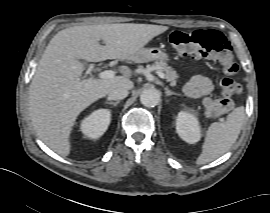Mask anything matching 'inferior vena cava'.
I'll return each instance as SVG.
<instances>
[{
  "label": "inferior vena cava",
  "mask_w": 270,
  "mask_h": 213,
  "mask_svg": "<svg viewBox=\"0 0 270 213\" xmlns=\"http://www.w3.org/2000/svg\"><path fill=\"white\" fill-rule=\"evenodd\" d=\"M129 92L125 88H116L109 92V100H122L128 96Z\"/></svg>",
  "instance_id": "inferior-vena-cava-1"
}]
</instances>
